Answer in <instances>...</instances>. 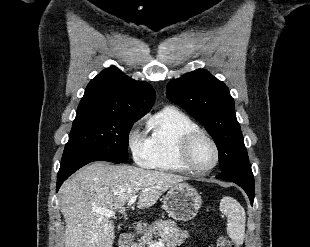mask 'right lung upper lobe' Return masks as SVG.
Returning <instances> with one entry per match:
<instances>
[{
    "mask_svg": "<svg viewBox=\"0 0 310 247\" xmlns=\"http://www.w3.org/2000/svg\"><path fill=\"white\" fill-rule=\"evenodd\" d=\"M154 101L155 90L149 83L135 81L111 66L89 82L77 112L142 117Z\"/></svg>",
    "mask_w": 310,
    "mask_h": 247,
    "instance_id": "cb5924a9",
    "label": "right lung upper lobe"
}]
</instances>
